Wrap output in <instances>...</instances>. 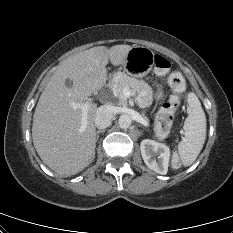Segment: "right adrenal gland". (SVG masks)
<instances>
[{
    "mask_svg": "<svg viewBox=\"0 0 233 233\" xmlns=\"http://www.w3.org/2000/svg\"><path fill=\"white\" fill-rule=\"evenodd\" d=\"M103 132H105V130H101V129L96 132V138H97V140L99 138V133H103Z\"/></svg>",
    "mask_w": 233,
    "mask_h": 233,
    "instance_id": "obj_1",
    "label": "right adrenal gland"
}]
</instances>
